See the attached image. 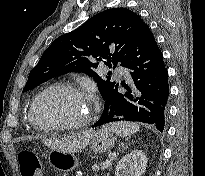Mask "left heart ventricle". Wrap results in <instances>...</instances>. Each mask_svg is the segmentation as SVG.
<instances>
[{"label":"left heart ventricle","instance_id":"1","mask_svg":"<svg viewBox=\"0 0 205 176\" xmlns=\"http://www.w3.org/2000/svg\"><path fill=\"white\" fill-rule=\"evenodd\" d=\"M88 110L87 102L78 94L67 90H55L38 103L36 118L43 125L76 123Z\"/></svg>","mask_w":205,"mask_h":176}]
</instances>
